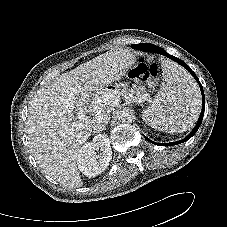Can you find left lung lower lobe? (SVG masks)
Instances as JSON below:
<instances>
[{
	"mask_svg": "<svg viewBox=\"0 0 227 227\" xmlns=\"http://www.w3.org/2000/svg\"><path fill=\"white\" fill-rule=\"evenodd\" d=\"M133 48L137 49V50H143V51H153L156 53H160L162 55H165L167 57H169L170 59L176 61L177 63L181 64L183 67H185L191 74L192 76L196 79V81L198 82L201 92H202V98H203V104H202V111L199 117V120L195 126V128L192 130V132L184 139L177 141V142H172V143H155L153 141H151L150 139H148L147 137H145L148 141L152 142L153 144H157V145H162V146H171V145H177L180 143H183L185 141H187L188 139H190L198 130V128L200 127L201 123H202V119H203V115H204V109H205V97H204V92H203V88L202 85L199 81V79L197 78V76L194 74V72L190 69V67L184 63L182 60H180L177 57L171 56L169 54H167V52H165L162 48L153 45V44H147V43H142V44H135L132 45Z\"/></svg>",
	"mask_w": 227,
	"mask_h": 227,
	"instance_id": "0a47b994",
	"label": "left lung lower lobe"
}]
</instances>
